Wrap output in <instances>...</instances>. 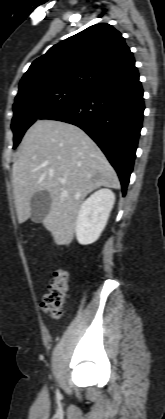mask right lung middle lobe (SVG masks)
<instances>
[{
  "label": "right lung middle lobe",
  "mask_w": 165,
  "mask_h": 419,
  "mask_svg": "<svg viewBox=\"0 0 165 419\" xmlns=\"http://www.w3.org/2000/svg\"><path fill=\"white\" fill-rule=\"evenodd\" d=\"M88 92L68 87L40 89L15 99L11 128L16 148L25 131L47 113L84 97Z\"/></svg>",
  "instance_id": "obj_1"
}]
</instances>
